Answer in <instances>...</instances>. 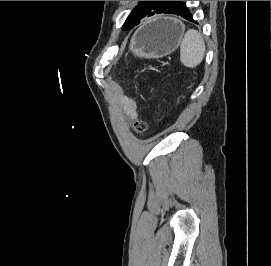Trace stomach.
<instances>
[{
    "label": "stomach",
    "instance_id": "0dacf381",
    "mask_svg": "<svg viewBox=\"0 0 271 266\" xmlns=\"http://www.w3.org/2000/svg\"><path fill=\"white\" fill-rule=\"evenodd\" d=\"M184 32L183 25L172 18H156L133 35L130 50L140 58H160L177 49Z\"/></svg>",
    "mask_w": 271,
    "mask_h": 266
}]
</instances>
